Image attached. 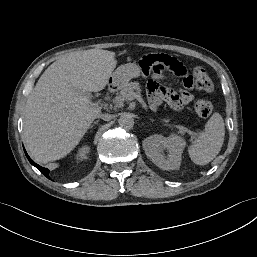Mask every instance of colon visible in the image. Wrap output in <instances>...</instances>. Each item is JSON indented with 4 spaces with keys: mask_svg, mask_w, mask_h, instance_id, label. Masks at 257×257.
Masks as SVG:
<instances>
[{
    "mask_svg": "<svg viewBox=\"0 0 257 257\" xmlns=\"http://www.w3.org/2000/svg\"><path fill=\"white\" fill-rule=\"evenodd\" d=\"M192 76L194 77L197 90L202 92H211L213 90V82L203 67H195ZM213 109V104L208 100H198L195 104L196 113L201 118L210 117Z\"/></svg>",
    "mask_w": 257,
    "mask_h": 257,
    "instance_id": "colon-1",
    "label": "colon"
}]
</instances>
